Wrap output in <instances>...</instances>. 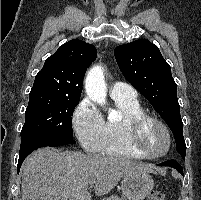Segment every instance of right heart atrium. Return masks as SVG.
Wrapping results in <instances>:
<instances>
[{"label": "right heart atrium", "mask_w": 201, "mask_h": 200, "mask_svg": "<svg viewBox=\"0 0 201 200\" xmlns=\"http://www.w3.org/2000/svg\"><path fill=\"white\" fill-rule=\"evenodd\" d=\"M72 125L83 148L91 152H98L101 149L104 119L89 99H83L76 107Z\"/></svg>", "instance_id": "1"}]
</instances>
